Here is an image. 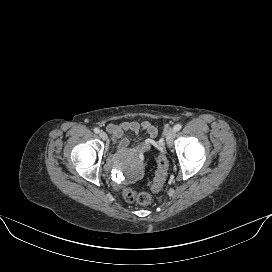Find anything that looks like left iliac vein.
<instances>
[{
	"instance_id": "left-iliac-vein-1",
	"label": "left iliac vein",
	"mask_w": 272,
	"mask_h": 272,
	"mask_svg": "<svg viewBox=\"0 0 272 272\" xmlns=\"http://www.w3.org/2000/svg\"><path fill=\"white\" fill-rule=\"evenodd\" d=\"M174 129H170L166 134V143L168 146H171L175 137Z\"/></svg>"
}]
</instances>
